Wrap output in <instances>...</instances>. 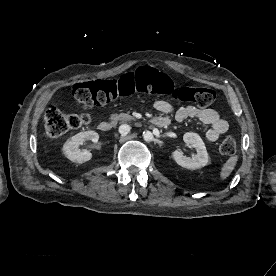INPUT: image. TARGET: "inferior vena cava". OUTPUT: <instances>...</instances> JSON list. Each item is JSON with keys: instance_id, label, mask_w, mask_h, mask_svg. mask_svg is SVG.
<instances>
[{"instance_id": "1", "label": "inferior vena cava", "mask_w": 276, "mask_h": 276, "mask_svg": "<svg viewBox=\"0 0 276 276\" xmlns=\"http://www.w3.org/2000/svg\"><path fill=\"white\" fill-rule=\"evenodd\" d=\"M130 129H131V127L129 125L124 124V125H121L119 127V132L122 135H126V134H128L130 132Z\"/></svg>"}]
</instances>
